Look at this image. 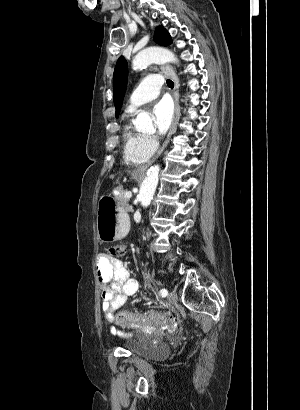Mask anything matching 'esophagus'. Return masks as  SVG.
I'll list each match as a JSON object with an SVG mask.
<instances>
[{
    "label": "esophagus",
    "instance_id": "esophagus-1",
    "mask_svg": "<svg viewBox=\"0 0 300 410\" xmlns=\"http://www.w3.org/2000/svg\"><path fill=\"white\" fill-rule=\"evenodd\" d=\"M162 71L168 76L170 77L173 82H174V92H173V97H174V103H175V116H174V120L172 122V125L170 127V130L168 132L167 138L165 139L164 143L162 144L161 148L158 150L157 154L155 155V157L146 165L140 166L135 170V173L138 174H143L147 168L161 155V153L163 152V150L166 148V146L169 143V140L175 130V125H176V121L179 115V79L174 71V69L172 68V66L170 65H163L161 67Z\"/></svg>",
    "mask_w": 300,
    "mask_h": 410
}]
</instances>
